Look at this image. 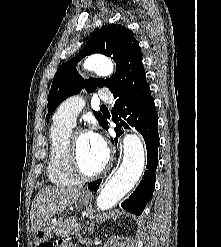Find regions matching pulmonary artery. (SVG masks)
Returning <instances> with one entry per match:
<instances>
[{
  "mask_svg": "<svg viewBox=\"0 0 221 247\" xmlns=\"http://www.w3.org/2000/svg\"><path fill=\"white\" fill-rule=\"evenodd\" d=\"M99 98L105 102H111L113 95L109 90H101ZM84 107L83 97L80 95L72 96L66 99L58 108L55 118L71 126L75 125L76 118Z\"/></svg>",
  "mask_w": 221,
  "mask_h": 247,
  "instance_id": "1",
  "label": "pulmonary artery"
}]
</instances>
